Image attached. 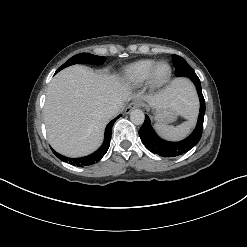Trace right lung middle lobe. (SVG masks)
Listing matches in <instances>:
<instances>
[{
    "mask_svg": "<svg viewBox=\"0 0 247 247\" xmlns=\"http://www.w3.org/2000/svg\"><path fill=\"white\" fill-rule=\"evenodd\" d=\"M106 60V57L104 56H96L93 54H89V53H80L77 54L75 56H73L72 58H70L68 61H66L57 71L62 70L65 67H68L70 65L73 64H77V63H88V64H95V65H100L103 64Z\"/></svg>",
    "mask_w": 247,
    "mask_h": 247,
    "instance_id": "dd1d6c3e",
    "label": "right lung middle lobe"
}]
</instances>
